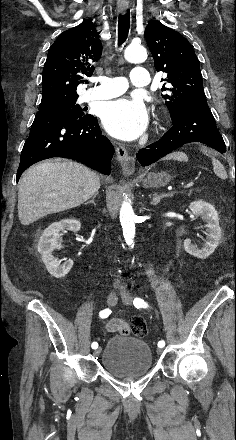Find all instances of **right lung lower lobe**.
<instances>
[{
    "mask_svg": "<svg viewBox=\"0 0 236 440\" xmlns=\"http://www.w3.org/2000/svg\"><path fill=\"white\" fill-rule=\"evenodd\" d=\"M113 153L96 117L38 111L23 146L16 180L32 164L52 157L70 158L109 175Z\"/></svg>",
    "mask_w": 236,
    "mask_h": 440,
    "instance_id": "1",
    "label": "right lung lower lobe"
}]
</instances>
